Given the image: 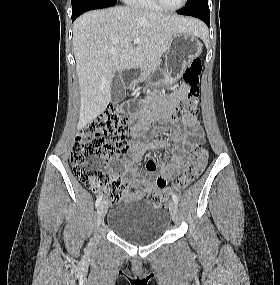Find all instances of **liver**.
I'll return each instance as SVG.
<instances>
[{
    "label": "liver",
    "mask_w": 280,
    "mask_h": 285,
    "mask_svg": "<svg viewBox=\"0 0 280 285\" xmlns=\"http://www.w3.org/2000/svg\"><path fill=\"white\" fill-rule=\"evenodd\" d=\"M205 29L194 18L118 6L89 11L73 25V51L80 88L78 128L103 113L111 101L117 71L159 59L181 32L201 36ZM140 43L134 47L133 39Z\"/></svg>",
    "instance_id": "1"
}]
</instances>
